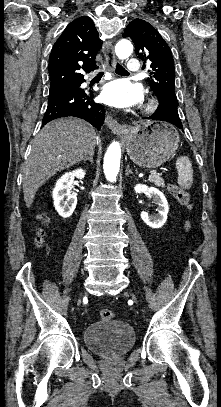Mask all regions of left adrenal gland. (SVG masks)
I'll use <instances>...</instances> for the list:
<instances>
[{
  "mask_svg": "<svg viewBox=\"0 0 221 407\" xmlns=\"http://www.w3.org/2000/svg\"><path fill=\"white\" fill-rule=\"evenodd\" d=\"M129 174H133V171L130 169V166L127 165V167H126V172H125V176H126V177L129 176Z\"/></svg>",
  "mask_w": 221,
  "mask_h": 407,
  "instance_id": "a2214340",
  "label": "left adrenal gland"
}]
</instances>
